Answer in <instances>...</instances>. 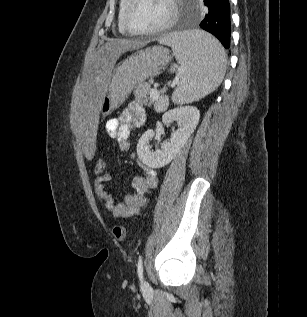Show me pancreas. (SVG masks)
Wrapping results in <instances>:
<instances>
[{"instance_id":"pancreas-1","label":"pancreas","mask_w":307,"mask_h":317,"mask_svg":"<svg viewBox=\"0 0 307 317\" xmlns=\"http://www.w3.org/2000/svg\"><path fill=\"white\" fill-rule=\"evenodd\" d=\"M150 92V86L148 84L143 83L136 87L134 94L136 98L143 99V102L146 105L151 106L154 101L151 98H149Z\"/></svg>"}]
</instances>
